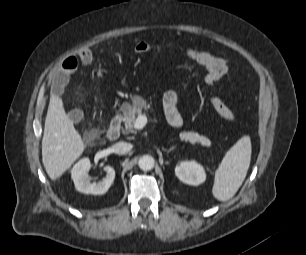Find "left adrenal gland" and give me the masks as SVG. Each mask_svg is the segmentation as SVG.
<instances>
[{
	"label": "left adrenal gland",
	"mask_w": 306,
	"mask_h": 255,
	"mask_svg": "<svg viewBox=\"0 0 306 255\" xmlns=\"http://www.w3.org/2000/svg\"><path fill=\"white\" fill-rule=\"evenodd\" d=\"M174 149H176L175 146H172L169 150H166V153L169 154L171 151H173Z\"/></svg>",
	"instance_id": "a2214340"
}]
</instances>
